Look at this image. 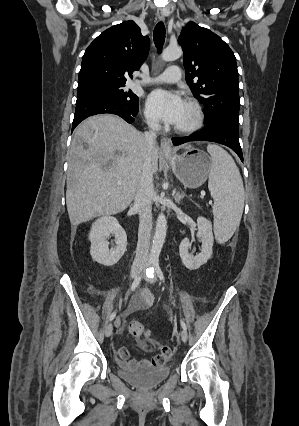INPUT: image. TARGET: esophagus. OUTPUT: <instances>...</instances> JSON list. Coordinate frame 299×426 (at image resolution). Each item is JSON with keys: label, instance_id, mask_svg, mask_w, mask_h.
Masks as SVG:
<instances>
[{"label": "esophagus", "instance_id": "34e87169", "mask_svg": "<svg viewBox=\"0 0 299 426\" xmlns=\"http://www.w3.org/2000/svg\"><path fill=\"white\" fill-rule=\"evenodd\" d=\"M158 19L159 20H164L165 19V14L163 11H158L157 13ZM161 150L162 153L164 155H172L173 154V149H172V144L171 141L169 139H162L161 141Z\"/></svg>", "mask_w": 299, "mask_h": 426}]
</instances>
